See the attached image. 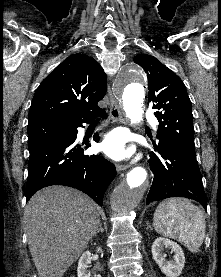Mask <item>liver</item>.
<instances>
[{
    "mask_svg": "<svg viewBox=\"0 0 221 277\" xmlns=\"http://www.w3.org/2000/svg\"><path fill=\"white\" fill-rule=\"evenodd\" d=\"M24 222L38 276L62 277L97 232L99 207L78 190L50 186L31 197Z\"/></svg>",
    "mask_w": 221,
    "mask_h": 277,
    "instance_id": "1",
    "label": "liver"
}]
</instances>
